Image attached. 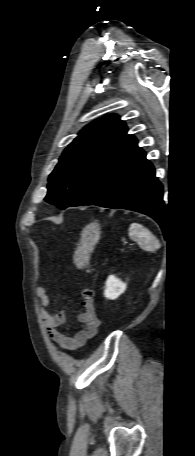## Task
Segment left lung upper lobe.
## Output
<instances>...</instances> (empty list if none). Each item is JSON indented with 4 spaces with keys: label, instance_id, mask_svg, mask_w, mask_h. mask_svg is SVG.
<instances>
[{
    "label": "left lung upper lobe",
    "instance_id": "1",
    "mask_svg": "<svg viewBox=\"0 0 195 456\" xmlns=\"http://www.w3.org/2000/svg\"><path fill=\"white\" fill-rule=\"evenodd\" d=\"M134 140L115 114L87 125L50 174L45 200L61 209L82 205L103 185Z\"/></svg>",
    "mask_w": 195,
    "mask_h": 456
}]
</instances>
